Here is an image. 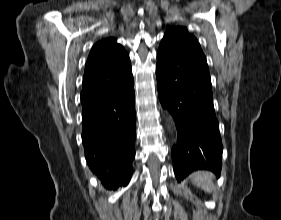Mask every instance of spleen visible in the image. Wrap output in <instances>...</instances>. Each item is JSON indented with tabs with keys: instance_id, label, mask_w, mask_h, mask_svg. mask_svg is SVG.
I'll list each match as a JSON object with an SVG mask.
<instances>
[{
	"instance_id": "1",
	"label": "spleen",
	"mask_w": 281,
	"mask_h": 220,
	"mask_svg": "<svg viewBox=\"0 0 281 220\" xmlns=\"http://www.w3.org/2000/svg\"><path fill=\"white\" fill-rule=\"evenodd\" d=\"M191 182L204 191L212 193L215 190L213 175L208 171H197L190 175Z\"/></svg>"
}]
</instances>
